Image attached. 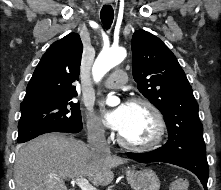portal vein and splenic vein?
<instances>
[{
    "label": "portal vein and splenic vein",
    "instance_id": "obj_1",
    "mask_svg": "<svg viewBox=\"0 0 221 190\" xmlns=\"http://www.w3.org/2000/svg\"><path fill=\"white\" fill-rule=\"evenodd\" d=\"M72 183H76L81 190H97L84 177L73 179Z\"/></svg>",
    "mask_w": 221,
    "mask_h": 190
}]
</instances>
